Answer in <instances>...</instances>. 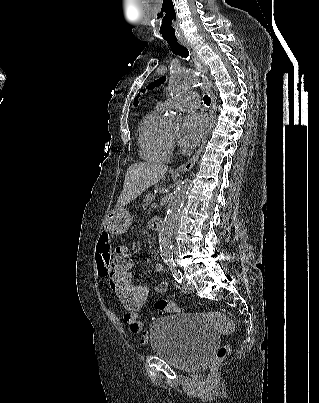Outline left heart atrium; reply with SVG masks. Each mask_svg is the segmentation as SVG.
<instances>
[{
    "instance_id": "left-heart-atrium-1",
    "label": "left heart atrium",
    "mask_w": 319,
    "mask_h": 403,
    "mask_svg": "<svg viewBox=\"0 0 319 403\" xmlns=\"http://www.w3.org/2000/svg\"><path fill=\"white\" fill-rule=\"evenodd\" d=\"M207 119L197 112L188 113L182 122L178 140L184 148H194L202 138L207 128Z\"/></svg>"
}]
</instances>
